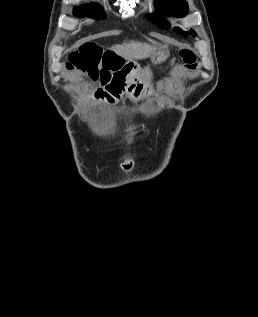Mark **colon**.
I'll return each instance as SVG.
<instances>
[{
	"instance_id": "1",
	"label": "colon",
	"mask_w": 258,
	"mask_h": 317,
	"mask_svg": "<svg viewBox=\"0 0 258 317\" xmlns=\"http://www.w3.org/2000/svg\"><path fill=\"white\" fill-rule=\"evenodd\" d=\"M181 57L187 69H196L197 57L192 50H182ZM121 61V57L113 50L104 49L95 42H86L69 55L66 67L85 72L93 80L99 79L104 83L121 66Z\"/></svg>"
}]
</instances>
